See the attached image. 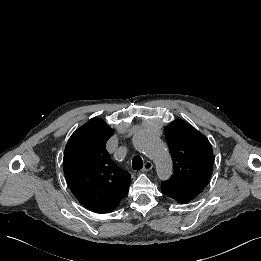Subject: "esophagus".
<instances>
[{
    "label": "esophagus",
    "mask_w": 261,
    "mask_h": 261,
    "mask_svg": "<svg viewBox=\"0 0 261 261\" xmlns=\"http://www.w3.org/2000/svg\"><path fill=\"white\" fill-rule=\"evenodd\" d=\"M152 168H153L152 162L151 161H146L142 171L146 172V171L151 170Z\"/></svg>",
    "instance_id": "obj_1"
}]
</instances>
